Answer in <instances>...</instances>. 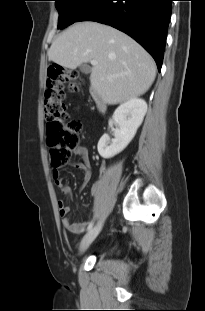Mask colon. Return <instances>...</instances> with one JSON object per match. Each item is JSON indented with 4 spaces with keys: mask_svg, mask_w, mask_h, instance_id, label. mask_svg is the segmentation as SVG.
I'll list each match as a JSON object with an SVG mask.
<instances>
[{
    "mask_svg": "<svg viewBox=\"0 0 205 311\" xmlns=\"http://www.w3.org/2000/svg\"><path fill=\"white\" fill-rule=\"evenodd\" d=\"M74 76L59 66L47 69L43 108L46 121L47 144L50 147L51 165L56 168L67 163L79 146L82 124L68 120L61 86L69 82L75 86Z\"/></svg>",
    "mask_w": 205,
    "mask_h": 311,
    "instance_id": "obj_1",
    "label": "colon"
}]
</instances>
